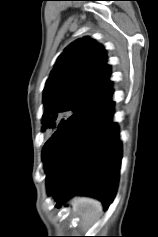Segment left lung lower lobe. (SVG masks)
I'll return each mask as SVG.
<instances>
[{
  "label": "left lung lower lobe",
  "mask_w": 158,
  "mask_h": 237,
  "mask_svg": "<svg viewBox=\"0 0 158 237\" xmlns=\"http://www.w3.org/2000/svg\"><path fill=\"white\" fill-rule=\"evenodd\" d=\"M112 94L106 90L72 114L43 147L47 187L58 207L74 194L97 197L104 209L114 199L122 150Z\"/></svg>",
  "instance_id": "1"
}]
</instances>
